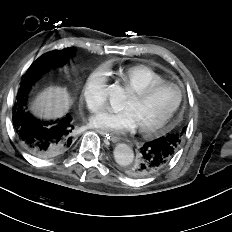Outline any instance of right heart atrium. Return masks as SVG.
<instances>
[{
	"mask_svg": "<svg viewBox=\"0 0 232 232\" xmlns=\"http://www.w3.org/2000/svg\"><path fill=\"white\" fill-rule=\"evenodd\" d=\"M107 72L104 67L94 70L86 79L82 90V98L92 111L104 107L107 100Z\"/></svg>",
	"mask_w": 232,
	"mask_h": 232,
	"instance_id": "obj_1",
	"label": "right heart atrium"
}]
</instances>
